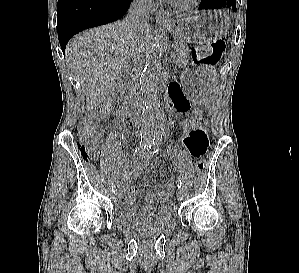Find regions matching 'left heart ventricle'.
<instances>
[{
	"mask_svg": "<svg viewBox=\"0 0 299 273\" xmlns=\"http://www.w3.org/2000/svg\"><path fill=\"white\" fill-rule=\"evenodd\" d=\"M173 1H175V2H177V3H179V4H186V3H188L190 0H173Z\"/></svg>",
	"mask_w": 299,
	"mask_h": 273,
	"instance_id": "b2bd125f",
	"label": "left heart ventricle"
}]
</instances>
